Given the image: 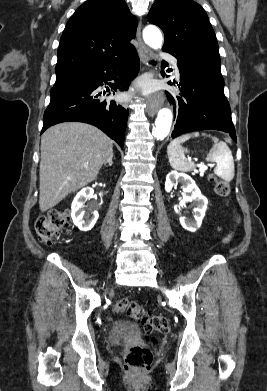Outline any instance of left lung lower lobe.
Listing matches in <instances>:
<instances>
[{"instance_id":"obj_1","label":"left lung lower lobe","mask_w":267,"mask_h":391,"mask_svg":"<svg viewBox=\"0 0 267 391\" xmlns=\"http://www.w3.org/2000/svg\"><path fill=\"white\" fill-rule=\"evenodd\" d=\"M172 54L178 60L180 72V91L177 121L172 138L181 134L214 129L230 134L236 142V132L231 119V110L224 96V80L221 71L210 66L185 61L179 55ZM164 66H167L164 63ZM165 76V73L162 72ZM168 84H175L171 81Z\"/></svg>"}]
</instances>
